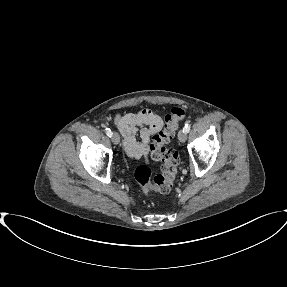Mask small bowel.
<instances>
[{
    "instance_id": "c3829d8e",
    "label": "small bowel",
    "mask_w": 287,
    "mask_h": 287,
    "mask_svg": "<svg viewBox=\"0 0 287 287\" xmlns=\"http://www.w3.org/2000/svg\"><path fill=\"white\" fill-rule=\"evenodd\" d=\"M115 125L124 138L128 154L135 159L146 158L154 134L163 125V117L156 111L142 109L115 117Z\"/></svg>"
}]
</instances>
